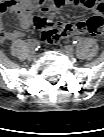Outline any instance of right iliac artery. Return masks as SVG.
<instances>
[{"label":"right iliac artery","mask_w":104,"mask_h":137,"mask_svg":"<svg viewBox=\"0 0 104 137\" xmlns=\"http://www.w3.org/2000/svg\"><path fill=\"white\" fill-rule=\"evenodd\" d=\"M29 43H30V47L32 50H38V48L40 47L39 41H37L35 39L31 40Z\"/></svg>","instance_id":"obj_1"}]
</instances>
